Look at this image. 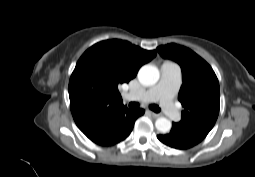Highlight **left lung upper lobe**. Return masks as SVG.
Wrapping results in <instances>:
<instances>
[{"instance_id": "1", "label": "left lung upper lobe", "mask_w": 255, "mask_h": 177, "mask_svg": "<svg viewBox=\"0 0 255 177\" xmlns=\"http://www.w3.org/2000/svg\"><path fill=\"white\" fill-rule=\"evenodd\" d=\"M165 59L177 62L183 84L178 99L185 108L176 123L186 131L205 138L215 125L220 107L218 79L210 65L192 50L177 44L159 46Z\"/></svg>"}]
</instances>
